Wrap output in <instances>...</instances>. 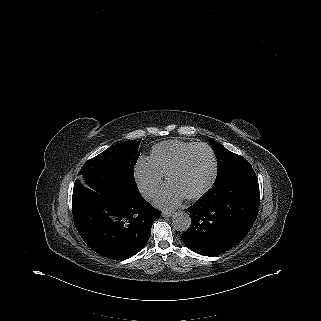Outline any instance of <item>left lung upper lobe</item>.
I'll list each match as a JSON object with an SVG mask.
<instances>
[{
	"label": "left lung upper lobe",
	"mask_w": 321,
	"mask_h": 321,
	"mask_svg": "<svg viewBox=\"0 0 321 321\" xmlns=\"http://www.w3.org/2000/svg\"><path fill=\"white\" fill-rule=\"evenodd\" d=\"M210 144L218 157V173L215 183L234 170L251 167L244 157L229 151L220 143L211 141Z\"/></svg>",
	"instance_id": "left-lung-upper-lobe-1"
}]
</instances>
